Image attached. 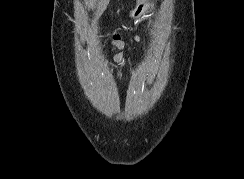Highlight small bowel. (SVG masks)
Returning <instances> with one entry per match:
<instances>
[{"mask_svg":"<svg viewBox=\"0 0 244 179\" xmlns=\"http://www.w3.org/2000/svg\"><path fill=\"white\" fill-rule=\"evenodd\" d=\"M136 8H139V7H136ZM112 44L120 50V52H118L115 55V59L120 66H123L124 65V57H125V53L123 50L126 47L125 42L122 40V38L119 35H114Z\"/></svg>","mask_w":244,"mask_h":179,"instance_id":"small-bowel-1","label":"small bowel"}]
</instances>
